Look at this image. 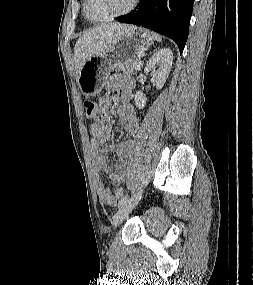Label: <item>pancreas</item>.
I'll return each instance as SVG.
<instances>
[{"label":"pancreas","instance_id":"1","mask_svg":"<svg viewBox=\"0 0 253 285\" xmlns=\"http://www.w3.org/2000/svg\"><path fill=\"white\" fill-rule=\"evenodd\" d=\"M136 65H138V62H132L127 65L117 67L116 71L123 72L126 75H133L136 73Z\"/></svg>","mask_w":253,"mask_h":285}]
</instances>
